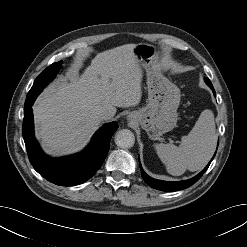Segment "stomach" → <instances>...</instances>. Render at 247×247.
I'll use <instances>...</instances> for the list:
<instances>
[{
	"mask_svg": "<svg viewBox=\"0 0 247 247\" xmlns=\"http://www.w3.org/2000/svg\"><path fill=\"white\" fill-rule=\"evenodd\" d=\"M133 52L146 70L148 104L145 108L132 112L130 117H134L148 136L156 140L176 125L180 90L161 72L156 46L139 43L135 45Z\"/></svg>",
	"mask_w": 247,
	"mask_h": 247,
	"instance_id": "0dacf381",
	"label": "stomach"
}]
</instances>
